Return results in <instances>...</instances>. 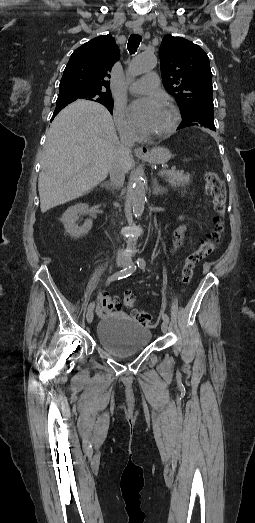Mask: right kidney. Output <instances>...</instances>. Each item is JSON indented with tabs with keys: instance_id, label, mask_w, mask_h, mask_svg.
Segmentation results:
<instances>
[{
	"instance_id": "ca27d5eb",
	"label": "right kidney",
	"mask_w": 255,
	"mask_h": 523,
	"mask_svg": "<svg viewBox=\"0 0 255 523\" xmlns=\"http://www.w3.org/2000/svg\"><path fill=\"white\" fill-rule=\"evenodd\" d=\"M87 204H76V206H71L66 212H64L61 222L64 224L65 232L71 236V238H81L84 234H87L93 226L92 220H86L83 226H77L75 224L78 214H83L87 212Z\"/></svg>"
}]
</instances>
